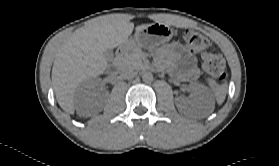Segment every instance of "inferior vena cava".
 Masks as SVG:
<instances>
[{"mask_svg":"<svg viewBox=\"0 0 279 166\" xmlns=\"http://www.w3.org/2000/svg\"><path fill=\"white\" fill-rule=\"evenodd\" d=\"M137 72L133 69H126L125 71L122 72V76L126 79H131L134 76H136Z\"/></svg>","mask_w":279,"mask_h":166,"instance_id":"inferior-vena-cava-1","label":"inferior vena cava"}]
</instances>
